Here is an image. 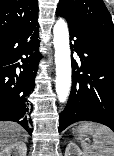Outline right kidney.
I'll return each instance as SVG.
<instances>
[{
  "instance_id": "right-kidney-1",
  "label": "right kidney",
  "mask_w": 114,
  "mask_h": 156,
  "mask_svg": "<svg viewBox=\"0 0 114 156\" xmlns=\"http://www.w3.org/2000/svg\"><path fill=\"white\" fill-rule=\"evenodd\" d=\"M27 147L23 141H17L0 152V156H26Z\"/></svg>"
}]
</instances>
